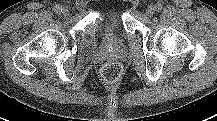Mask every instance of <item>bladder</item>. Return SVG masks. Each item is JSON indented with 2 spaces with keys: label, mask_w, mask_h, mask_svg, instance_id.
Masks as SVG:
<instances>
[{
  "label": "bladder",
  "mask_w": 217,
  "mask_h": 121,
  "mask_svg": "<svg viewBox=\"0 0 217 121\" xmlns=\"http://www.w3.org/2000/svg\"><path fill=\"white\" fill-rule=\"evenodd\" d=\"M103 38L107 44L117 46L121 43L120 18L115 12H109L103 23Z\"/></svg>",
  "instance_id": "1"
}]
</instances>
